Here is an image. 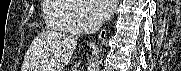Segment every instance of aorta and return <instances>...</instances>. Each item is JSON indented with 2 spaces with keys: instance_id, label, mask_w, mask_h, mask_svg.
I'll list each match as a JSON object with an SVG mask.
<instances>
[{
  "instance_id": "aorta-1",
  "label": "aorta",
  "mask_w": 181,
  "mask_h": 71,
  "mask_svg": "<svg viewBox=\"0 0 181 71\" xmlns=\"http://www.w3.org/2000/svg\"><path fill=\"white\" fill-rule=\"evenodd\" d=\"M101 60H96L89 68L88 71H99Z\"/></svg>"
}]
</instances>
